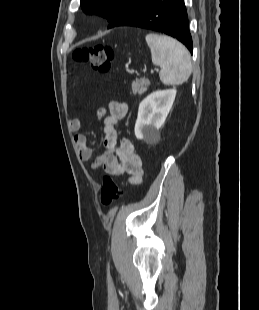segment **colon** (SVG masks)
I'll return each instance as SVG.
<instances>
[{
    "label": "colon",
    "instance_id": "colon-1",
    "mask_svg": "<svg viewBox=\"0 0 259 310\" xmlns=\"http://www.w3.org/2000/svg\"><path fill=\"white\" fill-rule=\"evenodd\" d=\"M74 59L88 64L92 69L106 73L110 71L114 59V50L106 44H96L94 46L77 49ZM122 187L110 176L103 178V186L100 192V200L103 205H109L122 196Z\"/></svg>",
    "mask_w": 259,
    "mask_h": 310
}]
</instances>
